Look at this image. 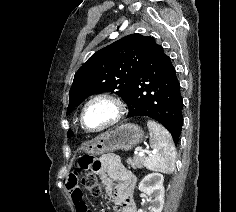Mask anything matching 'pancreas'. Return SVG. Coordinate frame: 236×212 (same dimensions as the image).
I'll use <instances>...</instances> for the list:
<instances>
[{
	"instance_id": "obj_1",
	"label": "pancreas",
	"mask_w": 236,
	"mask_h": 212,
	"mask_svg": "<svg viewBox=\"0 0 236 212\" xmlns=\"http://www.w3.org/2000/svg\"><path fill=\"white\" fill-rule=\"evenodd\" d=\"M145 161H146V157L145 156H139V155H135L134 157H133V159H127V163L129 164V165H131V167L133 168V169H136V168H142L143 167V165H145Z\"/></svg>"
}]
</instances>
